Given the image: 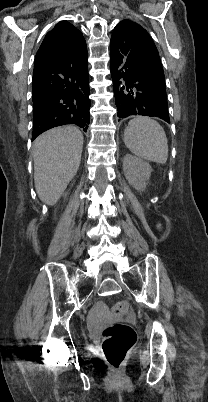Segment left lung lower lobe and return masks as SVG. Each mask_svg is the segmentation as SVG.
I'll return each mask as SVG.
<instances>
[{
	"label": "left lung lower lobe",
	"mask_w": 208,
	"mask_h": 402,
	"mask_svg": "<svg viewBox=\"0 0 208 402\" xmlns=\"http://www.w3.org/2000/svg\"><path fill=\"white\" fill-rule=\"evenodd\" d=\"M148 32L134 23L120 22L110 42V71L117 116L158 117L170 123L166 85L141 68V43Z\"/></svg>",
	"instance_id": "left-lung-lower-lobe-1"
}]
</instances>
